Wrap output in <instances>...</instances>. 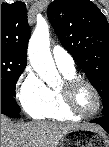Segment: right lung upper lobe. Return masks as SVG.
Instances as JSON below:
<instances>
[{"label":"right lung upper lobe","mask_w":109,"mask_h":147,"mask_svg":"<svg viewBox=\"0 0 109 147\" xmlns=\"http://www.w3.org/2000/svg\"><path fill=\"white\" fill-rule=\"evenodd\" d=\"M30 27L27 9L23 2L1 4V52L27 64V45Z\"/></svg>","instance_id":"1"}]
</instances>
